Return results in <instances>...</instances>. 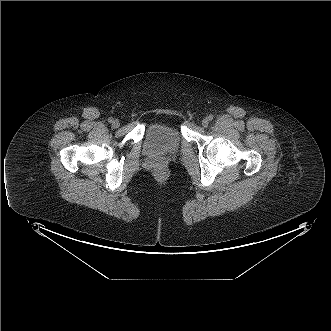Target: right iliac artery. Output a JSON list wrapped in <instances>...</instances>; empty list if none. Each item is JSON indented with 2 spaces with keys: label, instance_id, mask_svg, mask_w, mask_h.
I'll return each instance as SVG.
<instances>
[{
  "label": "right iliac artery",
  "instance_id": "1",
  "mask_svg": "<svg viewBox=\"0 0 331 331\" xmlns=\"http://www.w3.org/2000/svg\"><path fill=\"white\" fill-rule=\"evenodd\" d=\"M108 122H109V123H112V122H113V118H109V119H108Z\"/></svg>",
  "mask_w": 331,
  "mask_h": 331
}]
</instances>
